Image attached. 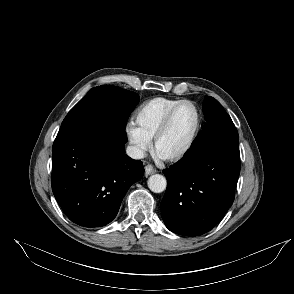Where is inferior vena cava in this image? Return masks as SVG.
Here are the masks:
<instances>
[{
    "label": "inferior vena cava",
    "mask_w": 294,
    "mask_h": 294,
    "mask_svg": "<svg viewBox=\"0 0 294 294\" xmlns=\"http://www.w3.org/2000/svg\"><path fill=\"white\" fill-rule=\"evenodd\" d=\"M126 153L132 159H142L144 158V152L139 147L136 146H128L126 149Z\"/></svg>",
    "instance_id": "602c4592"
}]
</instances>
